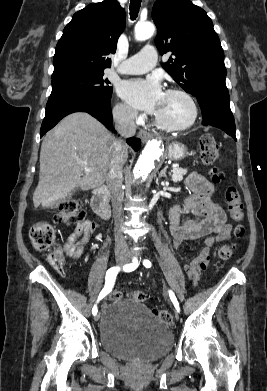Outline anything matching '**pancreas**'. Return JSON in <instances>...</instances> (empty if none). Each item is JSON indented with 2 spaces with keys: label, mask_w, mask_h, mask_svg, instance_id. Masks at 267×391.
Wrapping results in <instances>:
<instances>
[{
  "label": "pancreas",
  "mask_w": 267,
  "mask_h": 391,
  "mask_svg": "<svg viewBox=\"0 0 267 391\" xmlns=\"http://www.w3.org/2000/svg\"><path fill=\"white\" fill-rule=\"evenodd\" d=\"M187 170L179 167H173L172 169V181L174 183L182 181L183 177L186 175Z\"/></svg>",
  "instance_id": "pancreas-1"
}]
</instances>
